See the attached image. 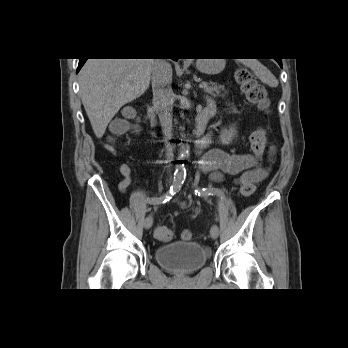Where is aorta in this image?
<instances>
[{"label":"aorta","mask_w":348,"mask_h":348,"mask_svg":"<svg viewBox=\"0 0 348 348\" xmlns=\"http://www.w3.org/2000/svg\"><path fill=\"white\" fill-rule=\"evenodd\" d=\"M187 153V146L184 143H180V154L186 156Z\"/></svg>","instance_id":"1"}]
</instances>
